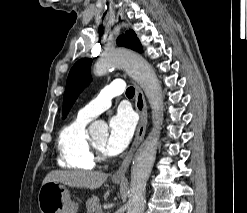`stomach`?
Here are the masks:
<instances>
[{
    "mask_svg": "<svg viewBox=\"0 0 247 213\" xmlns=\"http://www.w3.org/2000/svg\"><path fill=\"white\" fill-rule=\"evenodd\" d=\"M119 183L120 180H113ZM41 213H77L78 203L71 200L68 189L61 183L47 182L38 193Z\"/></svg>",
    "mask_w": 247,
    "mask_h": 213,
    "instance_id": "stomach-1",
    "label": "stomach"
}]
</instances>
